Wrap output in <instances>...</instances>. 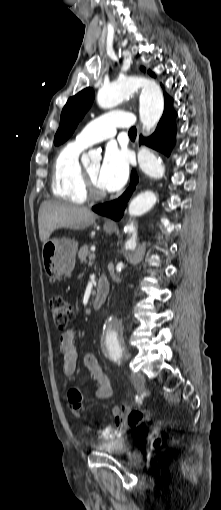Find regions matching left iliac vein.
Masks as SVG:
<instances>
[{
    "instance_id": "4c4485c4",
    "label": "left iliac vein",
    "mask_w": 221,
    "mask_h": 510,
    "mask_svg": "<svg viewBox=\"0 0 221 510\" xmlns=\"http://www.w3.org/2000/svg\"><path fill=\"white\" fill-rule=\"evenodd\" d=\"M126 354L124 353L123 354V357H126L125 356ZM130 378L132 379V381L134 382V384L139 388V389H142L144 388V385H145V377L143 374L141 373H131L130 374Z\"/></svg>"
}]
</instances>
